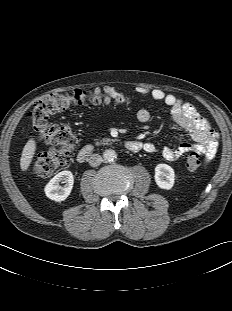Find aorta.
<instances>
[{"label": "aorta", "instance_id": "obj_1", "mask_svg": "<svg viewBox=\"0 0 232 311\" xmlns=\"http://www.w3.org/2000/svg\"><path fill=\"white\" fill-rule=\"evenodd\" d=\"M103 158L106 162L112 163L117 159V153L113 149H107L103 152Z\"/></svg>", "mask_w": 232, "mask_h": 311}]
</instances>
